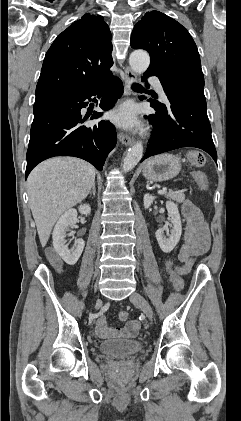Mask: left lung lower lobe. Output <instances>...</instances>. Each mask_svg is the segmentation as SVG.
Listing matches in <instances>:
<instances>
[{
	"instance_id": "1",
	"label": "left lung lower lobe",
	"mask_w": 241,
	"mask_h": 421,
	"mask_svg": "<svg viewBox=\"0 0 241 421\" xmlns=\"http://www.w3.org/2000/svg\"><path fill=\"white\" fill-rule=\"evenodd\" d=\"M157 76L167 96V104L149 100L155 114L145 116L153 126L151 144L146 158L181 147H196L206 151L217 162V153L211 136L203 87L195 84L179 85L165 81L162 75L146 71L145 77ZM145 82L146 78H142Z\"/></svg>"
}]
</instances>
